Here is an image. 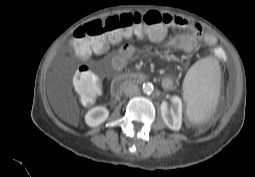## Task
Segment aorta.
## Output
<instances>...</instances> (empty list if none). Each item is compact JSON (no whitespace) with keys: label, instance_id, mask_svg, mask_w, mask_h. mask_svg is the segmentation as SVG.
Instances as JSON below:
<instances>
[{"label":"aorta","instance_id":"1","mask_svg":"<svg viewBox=\"0 0 255 177\" xmlns=\"http://www.w3.org/2000/svg\"><path fill=\"white\" fill-rule=\"evenodd\" d=\"M153 85L151 83H144L142 86V90L145 94H151L153 92Z\"/></svg>","mask_w":255,"mask_h":177}]
</instances>
